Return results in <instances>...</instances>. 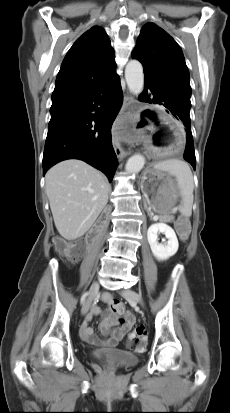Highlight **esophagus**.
I'll list each match as a JSON object with an SVG mask.
<instances>
[{"instance_id": "1", "label": "esophagus", "mask_w": 230, "mask_h": 413, "mask_svg": "<svg viewBox=\"0 0 230 413\" xmlns=\"http://www.w3.org/2000/svg\"><path fill=\"white\" fill-rule=\"evenodd\" d=\"M134 102V98L132 96L125 97V106L128 108ZM115 153L117 157H125L128 153L123 150L120 144L115 145Z\"/></svg>"}]
</instances>
